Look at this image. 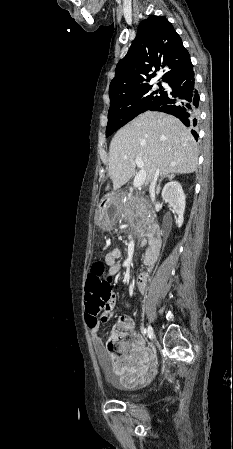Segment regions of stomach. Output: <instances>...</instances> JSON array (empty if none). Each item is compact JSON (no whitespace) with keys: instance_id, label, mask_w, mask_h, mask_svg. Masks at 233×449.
<instances>
[{"instance_id":"0dacf381","label":"stomach","mask_w":233,"mask_h":449,"mask_svg":"<svg viewBox=\"0 0 233 449\" xmlns=\"http://www.w3.org/2000/svg\"><path fill=\"white\" fill-rule=\"evenodd\" d=\"M111 203L107 209H100L97 212V222L103 227H111L121 216L122 203L118 196L110 199Z\"/></svg>"}]
</instances>
